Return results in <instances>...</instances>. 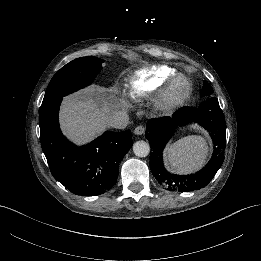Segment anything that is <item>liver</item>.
Here are the masks:
<instances>
[{
    "label": "liver",
    "instance_id": "obj_1",
    "mask_svg": "<svg viewBox=\"0 0 261 261\" xmlns=\"http://www.w3.org/2000/svg\"><path fill=\"white\" fill-rule=\"evenodd\" d=\"M116 94V89L94 86L66 98L61 115L65 132L76 141L99 134L120 109Z\"/></svg>",
    "mask_w": 261,
    "mask_h": 261
}]
</instances>
